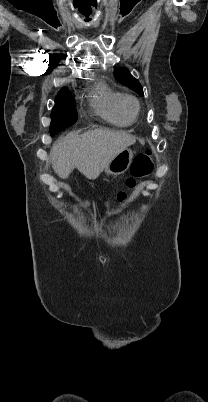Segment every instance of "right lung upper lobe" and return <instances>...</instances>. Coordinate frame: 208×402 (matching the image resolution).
Wrapping results in <instances>:
<instances>
[{
	"instance_id": "cb5924a9",
	"label": "right lung upper lobe",
	"mask_w": 208,
	"mask_h": 402,
	"mask_svg": "<svg viewBox=\"0 0 208 402\" xmlns=\"http://www.w3.org/2000/svg\"><path fill=\"white\" fill-rule=\"evenodd\" d=\"M67 93H69L68 90L62 89V90L59 92L58 96H59V95H62V94H67Z\"/></svg>"
}]
</instances>
